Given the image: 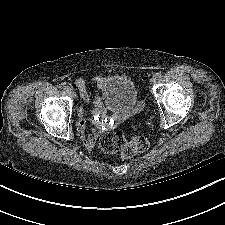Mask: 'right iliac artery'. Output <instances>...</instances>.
I'll use <instances>...</instances> for the list:
<instances>
[{
	"label": "right iliac artery",
	"mask_w": 225,
	"mask_h": 225,
	"mask_svg": "<svg viewBox=\"0 0 225 225\" xmlns=\"http://www.w3.org/2000/svg\"><path fill=\"white\" fill-rule=\"evenodd\" d=\"M63 89H64V91H66V92H68V93H69V91H70V87H68V86H64Z\"/></svg>",
	"instance_id": "right-iliac-artery-1"
}]
</instances>
